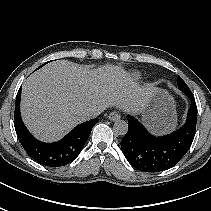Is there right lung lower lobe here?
<instances>
[{
	"mask_svg": "<svg viewBox=\"0 0 211 211\" xmlns=\"http://www.w3.org/2000/svg\"><path fill=\"white\" fill-rule=\"evenodd\" d=\"M20 97L21 87L15 102L14 126L18 139L26 153L36 162L48 167H61L75 160L88 140L93 126L99 120L92 119L81 123L58 142H40L30 134L22 122Z\"/></svg>",
	"mask_w": 211,
	"mask_h": 211,
	"instance_id": "right-lung-lower-lobe-1",
	"label": "right lung lower lobe"
}]
</instances>
